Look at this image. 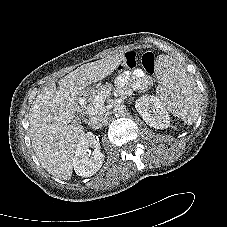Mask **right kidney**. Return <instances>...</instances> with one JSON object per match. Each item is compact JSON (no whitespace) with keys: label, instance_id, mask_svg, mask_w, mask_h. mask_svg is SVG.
<instances>
[{"label":"right kidney","instance_id":"ca27d5eb","mask_svg":"<svg viewBox=\"0 0 227 227\" xmlns=\"http://www.w3.org/2000/svg\"><path fill=\"white\" fill-rule=\"evenodd\" d=\"M89 148H94L91 152ZM104 154L100 151L99 139L93 133H86L78 143L73 167L78 176L91 177L102 166Z\"/></svg>","mask_w":227,"mask_h":227}]
</instances>
